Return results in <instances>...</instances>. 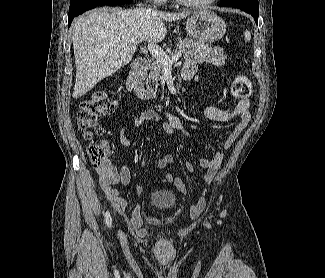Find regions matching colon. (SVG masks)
Wrapping results in <instances>:
<instances>
[{"label":"colon","instance_id":"obj_1","mask_svg":"<svg viewBox=\"0 0 325 278\" xmlns=\"http://www.w3.org/2000/svg\"><path fill=\"white\" fill-rule=\"evenodd\" d=\"M232 93L238 98L242 99L251 95L252 84L250 80L244 75H238L232 82ZM117 101L110 98L104 92L94 93L90 98L84 99L80 102L76 119L78 127L83 132L86 140L92 141L101 132L99 126V117L112 113L117 107ZM111 147L108 142L91 143L87 147V153L91 163L99 168L103 165L105 159L110 153ZM200 211V205L194 209V214Z\"/></svg>","mask_w":325,"mask_h":278}]
</instances>
